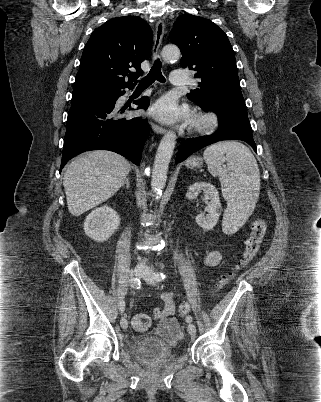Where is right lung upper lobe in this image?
I'll use <instances>...</instances> for the list:
<instances>
[{
  "label": "right lung upper lobe",
  "mask_w": 321,
  "mask_h": 402,
  "mask_svg": "<svg viewBox=\"0 0 321 402\" xmlns=\"http://www.w3.org/2000/svg\"><path fill=\"white\" fill-rule=\"evenodd\" d=\"M152 38L150 26L140 17L105 22L93 31L83 50L74 86L134 87L143 73L140 65L149 57ZM132 68L136 72H130Z\"/></svg>",
  "instance_id": "obj_1"
}]
</instances>
